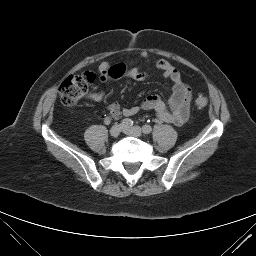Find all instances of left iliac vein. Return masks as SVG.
<instances>
[{
	"mask_svg": "<svg viewBox=\"0 0 256 256\" xmlns=\"http://www.w3.org/2000/svg\"><path fill=\"white\" fill-rule=\"evenodd\" d=\"M123 131L127 135L138 137V138L143 135V130L139 126L124 128Z\"/></svg>",
	"mask_w": 256,
	"mask_h": 256,
	"instance_id": "4c4485c4",
	"label": "left iliac vein"
}]
</instances>
